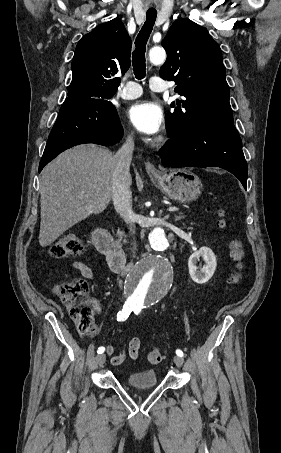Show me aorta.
<instances>
[{"instance_id": "762f6f07", "label": "aorta", "mask_w": 281, "mask_h": 453, "mask_svg": "<svg viewBox=\"0 0 281 453\" xmlns=\"http://www.w3.org/2000/svg\"><path fill=\"white\" fill-rule=\"evenodd\" d=\"M153 64H162L166 53L162 48H152L149 52ZM153 249L163 252L170 247V241L162 228H155L149 234ZM173 270L168 261L161 256L144 259L132 269L127 278L128 301L133 305L153 304L161 300L170 290Z\"/></svg>"}]
</instances>
